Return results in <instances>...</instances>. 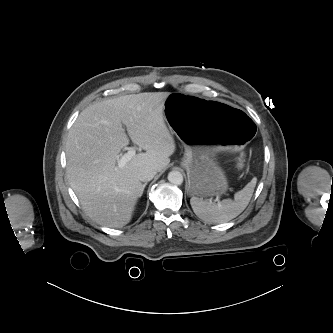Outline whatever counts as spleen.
I'll list each match as a JSON object with an SVG mask.
<instances>
[{"instance_id": "obj_1", "label": "spleen", "mask_w": 333, "mask_h": 333, "mask_svg": "<svg viewBox=\"0 0 333 333\" xmlns=\"http://www.w3.org/2000/svg\"><path fill=\"white\" fill-rule=\"evenodd\" d=\"M256 185L253 178L242 190L238 191L234 200L224 199L213 203L198 197L190 199L194 213L205 222L224 223L237 217L247 207Z\"/></svg>"}]
</instances>
